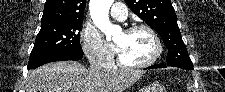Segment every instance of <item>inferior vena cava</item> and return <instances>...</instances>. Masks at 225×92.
<instances>
[{"label": "inferior vena cava", "instance_id": "obj_1", "mask_svg": "<svg viewBox=\"0 0 225 92\" xmlns=\"http://www.w3.org/2000/svg\"><path fill=\"white\" fill-rule=\"evenodd\" d=\"M90 69L92 71H99V70H102V67L99 65V63L91 62L90 63Z\"/></svg>", "mask_w": 225, "mask_h": 92}]
</instances>
